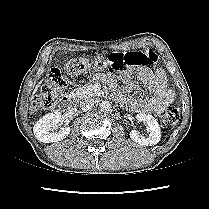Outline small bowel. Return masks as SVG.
Segmentation results:
<instances>
[{"instance_id":"c3829d8e","label":"small bowel","mask_w":209,"mask_h":209,"mask_svg":"<svg viewBox=\"0 0 209 209\" xmlns=\"http://www.w3.org/2000/svg\"><path fill=\"white\" fill-rule=\"evenodd\" d=\"M140 81L146 85L148 97L141 98L132 103V108L136 112H154L160 114L164 112L174 101V93L167 87V78L163 70L150 69L140 65L138 69ZM104 81L114 87V94L119 100H125L124 92L116 87L115 79L110 74L101 77ZM131 86V82L127 81Z\"/></svg>"}]
</instances>
